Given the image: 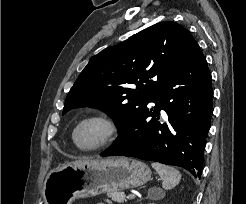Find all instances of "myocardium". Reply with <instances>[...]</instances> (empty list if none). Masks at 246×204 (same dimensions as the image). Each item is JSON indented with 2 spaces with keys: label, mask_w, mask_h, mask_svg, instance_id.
<instances>
[{
  "label": "myocardium",
  "mask_w": 246,
  "mask_h": 204,
  "mask_svg": "<svg viewBox=\"0 0 246 204\" xmlns=\"http://www.w3.org/2000/svg\"><path fill=\"white\" fill-rule=\"evenodd\" d=\"M87 123H98L103 128V133L100 138L92 145L84 146L78 142V130ZM119 126L117 121L109 115L102 113H95L81 118L74 126L71 139L73 144L82 151H96L105 148L112 144L117 138Z\"/></svg>",
  "instance_id": "1"
}]
</instances>
